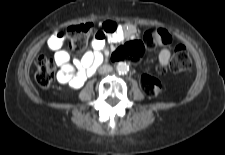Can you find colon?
Wrapping results in <instances>:
<instances>
[{
    "mask_svg": "<svg viewBox=\"0 0 225 155\" xmlns=\"http://www.w3.org/2000/svg\"><path fill=\"white\" fill-rule=\"evenodd\" d=\"M93 32L94 26L89 22L72 25L65 31L68 35L70 47L77 52L86 49L88 40ZM171 42L172 36L167 30L162 28L149 29L145 31L142 41H129L119 49L113 50L110 64L119 66L122 60L139 62L147 50L161 45H168ZM35 66V80L37 84L43 88L49 87L56 78L54 62L50 58L41 55L36 59ZM190 66L191 58L186 47L183 45L176 46L170 62V69L174 72H182L190 68ZM142 85L145 93L150 97L161 98L166 91L162 84L150 75L142 76Z\"/></svg>",
    "mask_w": 225,
    "mask_h": 155,
    "instance_id": "1",
    "label": "colon"
}]
</instances>
